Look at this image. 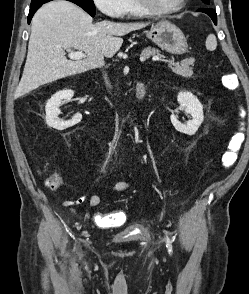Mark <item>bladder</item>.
<instances>
[{
    "label": "bladder",
    "instance_id": "1",
    "mask_svg": "<svg viewBox=\"0 0 249 294\" xmlns=\"http://www.w3.org/2000/svg\"><path fill=\"white\" fill-rule=\"evenodd\" d=\"M134 229L139 230V232H132V230H126L123 233L114 237V240L118 243H133L149 240V232L144 229L141 225L137 224L133 226Z\"/></svg>",
    "mask_w": 249,
    "mask_h": 294
}]
</instances>
